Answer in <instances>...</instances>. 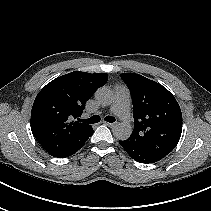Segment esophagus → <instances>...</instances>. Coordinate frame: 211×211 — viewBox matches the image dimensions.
<instances>
[{
  "label": "esophagus",
  "instance_id": "esophagus-1",
  "mask_svg": "<svg viewBox=\"0 0 211 211\" xmlns=\"http://www.w3.org/2000/svg\"><path fill=\"white\" fill-rule=\"evenodd\" d=\"M104 124L111 127V128H114L117 125L116 123H109V122H104Z\"/></svg>",
  "mask_w": 211,
  "mask_h": 211
}]
</instances>
